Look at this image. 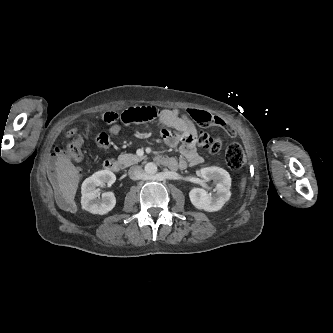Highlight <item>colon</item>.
I'll list each match as a JSON object with an SVG mask.
<instances>
[{
    "label": "colon",
    "instance_id": "5ec220e1",
    "mask_svg": "<svg viewBox=\"0 0 333 333\" xmlns=\"http://www.w3.org/2000/svg\"><path fill=\"white\" fill-rule=\"evenodd\" d=\"M159 111L155 107H138L132 106L125 110L123 113L118 114L115 112H107L103 115V119L107 123L128 122L135 125L139 122L151 121L157 119ZM76 129H72L67 134V140L64 145V150L71 156H78L81 152V140L77 137ZM199 145L204 147L209 153H217L222 145L221 139L212 137L207 132L200 131L196 136ZM96 144L100 148H108L110 145V138L107 134L102 133L96 138ZM59 150V149H58ZM225 160L227 166L233 170H240L245 163L244 151L240 144L232 143L225 151Z\"/></svg>",
    "mask_w": 333,
    "mask_h": 333
}]
</instances>
